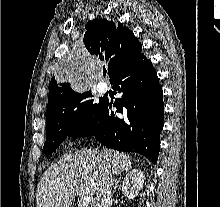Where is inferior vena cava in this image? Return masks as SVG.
I'll list each match as a JSON object with an SVG mask.
<instances>
[{"label":"inferior vena cava","mask_w":220,"mask_h":207,"mask_svg":"<svg viewBox=\"0 0 220 207\" xmlns=\"http://www.w3.org/2000/svg\"><path fill=\"white\" fill-rule=\"evenodd\" d=\"M113 185L112 175L105 172L102 174L96 191L95 207H110L112 204L111 188Z\"/></svg>","instance_id":"1"}]
</instances>
